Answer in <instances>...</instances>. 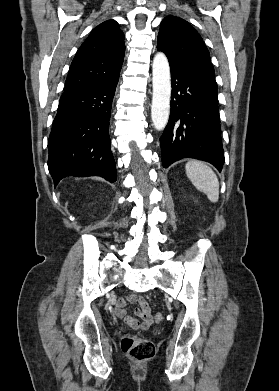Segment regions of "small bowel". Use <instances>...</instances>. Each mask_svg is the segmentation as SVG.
<instances>
[{
	"label": "small bowel",
	"instance_id": "small-bowel-1",
	"mask_svg": "<svg viewBox=\"0 0 279 391\" xmlns=\"http://www.w3.org/2000/svg\"><path fill=\"white\" fill-rule=\"evenodd\" d=\"M128 302L138 305V308L135 310V314L138 318L131 317L127 314L125 306ZM115 314L133 329L146 330L153 323L149 305L142 297L136 294H129L125 298L119 299L115 307Z\"/></svg>",
	"mask_w": 279,
	"mask_h": 391
}]
</instances>
